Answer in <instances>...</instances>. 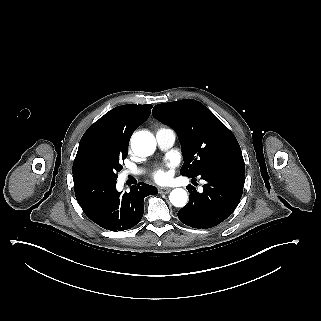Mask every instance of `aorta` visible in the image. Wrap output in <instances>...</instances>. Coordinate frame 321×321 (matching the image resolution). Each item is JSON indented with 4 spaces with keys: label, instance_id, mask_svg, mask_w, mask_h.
<instances>
[{
    "label": "aorta",
    "instance_id": "aorta-1",
    "mask_svg": "<svg viewBox=\"0 0 321 321\" xmlns=\"http://www.w3.org/2000/svg\"><path fill=\"white\" fill-rule=\"evenodd\" d=\"M131 148L138 156H150L156 149L155 137L150 132L138 131L132 137ZM169 200L175 207H184L188 201L187 192L182 188H175L171 191Z\"/></svg>",
    "mask_w": 321,
    "mask_h": 321
}]
</instances>
